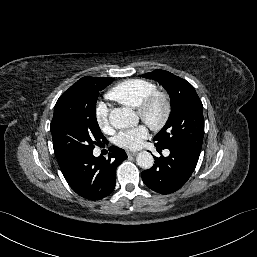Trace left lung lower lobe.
<instances>
[{
    "mask_svg": "<svg viewBox=\"0 0 257 257\" xmlns=\"http://www.w3.org/2000/svg\"><path fill=\"white\" fill-rule=\"evenodd\" d=\"M168 149V157H156L152 168L141 174L147 187L161 194L179 190L192 175L200 155V152L181 146H170Z\"/></svg>",
    "mask_w": 257,
    "mask_h": 257,
    "instance_id": "1",
    "label": "left lung lower lobe"
}]
</instances>
